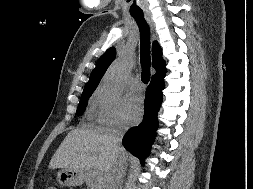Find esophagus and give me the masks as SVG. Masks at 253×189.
I'll list each match as a JSON object with an SVG mask.
<instances>
[{"label":"esophagus","instance_id":"esophagus-1","mask_svg":"<svg viewBox=\"0 0 253 189\" xmlns=\"http://www.w3.org/2000/svg\"><path fill=\"white\" fill-rule=\"evenodd\" d=\"M146 20H147V22L149 23V25H150L151 28H152V23H151V20H150V18H149L148 16H146Z\"/></svg>","mask_w":253,"mask_h":189}]
</instances>
